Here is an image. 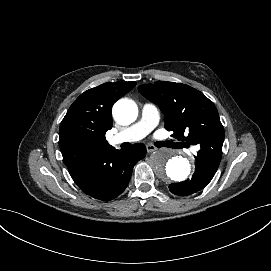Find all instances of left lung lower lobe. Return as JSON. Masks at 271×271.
<instances>
[{
    "instance_id": "1",
    "label": "left lung lower lobe",
    "mask_w": 271,
    "mask_h": 271,
    "mask_svg": "<svg viewBox=\"0 0 271 271\" xmlns=\"http://www.w3.org/2000/svg\"><path fill=\"white\" fill-rule=\"evenodd\" d=\"M222 154L209 152L201 146L197 153L195 173L191 179L179 183H172L169 189L179 196L191 195L203 189L215 175L221 161Z\"/></svg>"
}]
</instances>
